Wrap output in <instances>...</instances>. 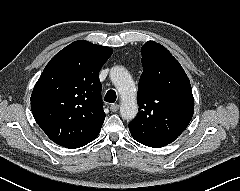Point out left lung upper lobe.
<instances>
[{"label": "left lung upper lobe", "mask_w": 240, "mask_h": 191, "mask_svg": "<svg viewBox=\"0 0 240 191\" xmlns=\"http://www.w3.org/2000/svg\"><path fill=\"white\" fill-rule=\"evenodd\" d=\"M142 65L139 113L129 129L138 142L163 147L176 140L192 119L191 85L180 63L159 43L148 41L143 45Z\"/></svg>", "instance_id": "left-lung-upper-lobe-1"}]
</instances>
